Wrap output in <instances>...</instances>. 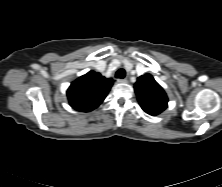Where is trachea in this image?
<instances>
[{"instance_id": "1", "label": "trachea", "mask_w": 222, "mask_h": 187, "mask_svg": "<svg viewBox=\"0 0 222 187\" xmlns=\"http://www.w3.org/2000/svg\"><path fill=\"white\" fill-rule=\"evenodd\" d=\"M126 75V72L124 69H119L116 74H115V77L116 78H119V79H123Z\"/></svg>"}]
</instances>
